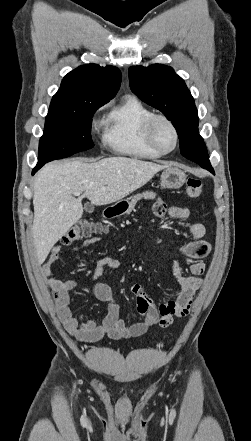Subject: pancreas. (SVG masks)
<instances>
[{"mask_svg":"<svg viewBox=\"0 0 251 441\" xmlns=\"http://www.w3.org/2000/svg\"><path fill=\"white\" fill-rule=\"evenodd\" d=\"M156 197V194L154 192L151 191H147V192H143L140 194H136L131 198V202L129 203V210L127 211V213H130L131 210L135 207L136 203L144 198V199H154Z\"/></svg>","mask_w":251,"mask_h":441,"instance_id":"pancreas-1","label":"pancreas"}]
</instances>
